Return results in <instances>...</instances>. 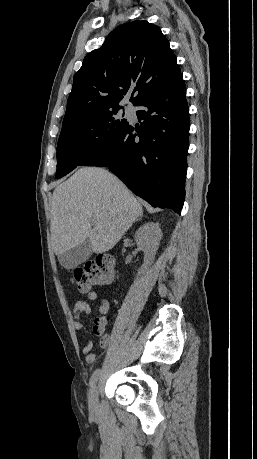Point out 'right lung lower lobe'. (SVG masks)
I'll return each instance as SVG.
<instances>
[{
  "label": "right lung lower lobe",
  "instance_id": "obj_1",
  "mask_svg": "<svg viewBox=\"0 0 257 459\" xmlns=\"http://www.w3.org/2000/svg\"><path fill=\"white\" fill-rule=\"evenodd\" d=\"M183 76L162 85L135 106L139 127L131 124L104 152L81 166L108 167L153 207L180 214L185 197L189 110Z\"/></svg>",
  "mask_w": 257,
  "mask_h": 459
}]
</instances>
